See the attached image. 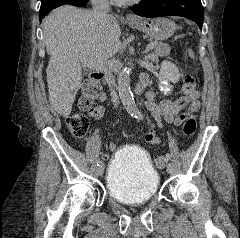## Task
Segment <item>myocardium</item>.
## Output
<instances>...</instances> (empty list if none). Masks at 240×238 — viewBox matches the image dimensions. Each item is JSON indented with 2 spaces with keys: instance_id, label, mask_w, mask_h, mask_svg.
<instances>
[{
  "instance_id": "1",
  "label": "myocardium",
  "mask_w": 240,
  "mask_h": 238,
  "mask_svg": "<svg viewBox=\"0 0 240 238\" xmlns=\"http://www.w3.org/2000/svg\"><path fill=\"white\" fill-rule=\"evenodd\" d=\"M140 1L141 0H122L121 3H124V4H134V3H138Z\"/></svg>"
}]
</instances>
